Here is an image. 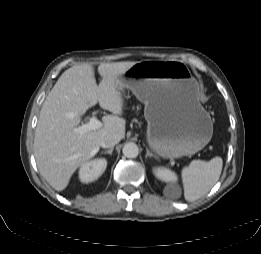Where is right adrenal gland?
Segmentation results:
<instances>
[{
    "instance_id": "obj_1",
    "label": "right adrenal gland",
    "mask_w": 261,
    "mask_h": 254,
    "mask_svg": "<svg viewBox=\"0 0 261 254\" xmlns=\"http://www.w3.org/2000/svg\"><path fill=\"white\" fill-rule=\"evenodd\" d=\"M113 149H114V148L111 147L110 149H108V150H106V151H102L101 153H102V154H110V155H111L112 152H113Z\"/></svg>"
}]
</instances>
